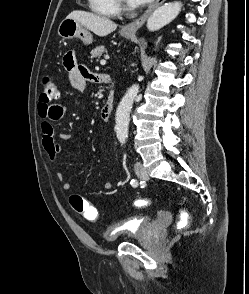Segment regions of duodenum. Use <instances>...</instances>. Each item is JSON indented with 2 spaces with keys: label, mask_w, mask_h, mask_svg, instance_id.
Here are the masks:
<instances>
[{
  "label": "duodenum",
  "mask_w": 249,
  "mask_h": 294,
  "mask_svg": "<svg viewBox=\"0 0 249 294\" xmlns=\"http://www.w3.org/2000/svg\"><path fill=\"white\" fill-rule=\"evenodd\" d=\"M99 81L102 83L110 84V78L106 74H100ZM113 106H114V97H113V92L111 91L100 112V118L103 122L109 121L113 111Z\"/></svg>",
  "instance_id": "obj_1"
}]
</instances>
